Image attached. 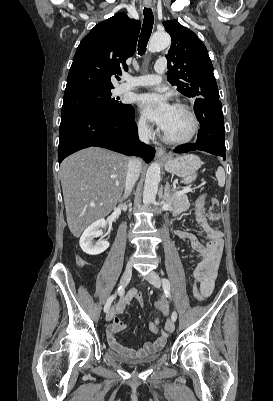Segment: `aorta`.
Returning <instances> with one entry per match:
<instances>
[{"mask_svg": "<svg viewBox=\"0 0 273 401\" xmlns=\"http://www.w3.org/2000/svg\"><path fill=\"white\" fill-rule=\"evenodd\" d=\"M171 44V38L166 32L154 33L150 39L148 49L150 52H159ZM160 165L152 163L146 173L143 203L149 205L155 201L160 183Z\"/></svg>", "mask_w": 273, "mask_h": 401, "instance_id": "aorta-1", "label": "aorta"}]
</instances>
